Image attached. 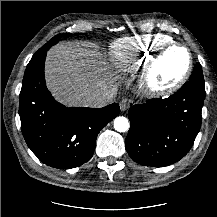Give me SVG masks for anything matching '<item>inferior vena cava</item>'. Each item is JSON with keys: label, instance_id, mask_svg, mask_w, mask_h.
<instances>
[{"label": "inferior vena cava", "instance_id": "obj_1", "mask_svg": "<svg viewBox=\"0 0 217 217\" xmlns=\"http://www.w3.org/2000/svg\"><path fill=\"white\" fill-rule=\"evenodd\" d=\"M114 89L97 90L84 98L85 105L91 108H101L109 103L115 97Z\"/></svg>", "mask_w": 217, "mask_h": 217}]
</instances>
